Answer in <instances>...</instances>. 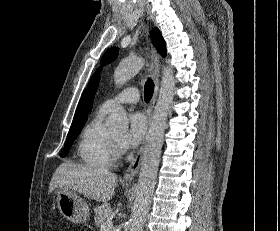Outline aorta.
<instances>
[{
  "label": "aorta",
  "mask_w": 280,
  "mask_h": 231,
  "mask_svg": "<svg viewBox=\"0 0 280 231\" xmlns=\"http://www.w3.org/2000/svg\"><path fill=\"white\" fill-rule=\"evenodd\" d=\"M144 64L145 60L143 58L120 62L113 74L115 84L119 86V84H125L128 80H131L133 76L139 74ZM162 70L160 92L155 112L151 117L149 131L146 135L134 205L129 219L130 231H143L145 217L151 205L156 183L169 108L175 94V78L172 68H162ZM106 123L115 133L127 131L129 121L124 108L122 106L115 108L112 114L107 117Z\"/></svg>",
  "instance_id": "obj_1"
}]
</instances>
